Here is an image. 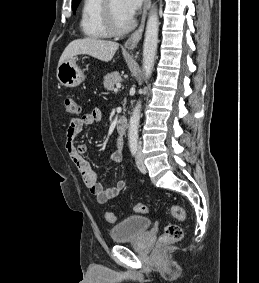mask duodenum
I'll return each mask as SVG.
<instances>
[{
    "label": "duodenum",
    "instance_id": "1",
    "mask_svg": "<svg viewBox=\"0 0 259 283\" xmlns=\"http://www.w3.org/2000/svg\"><path fill=\"white\" fill-rule=\"evenodd\" d=\"M127 127H128L127 118L126 117L119 118L117 122V127H116L117 134L120 136L125 135L127 131Z\"/></svg>",
    "mask_w": 259,
    "mask_h": 283
}]
</instances>
